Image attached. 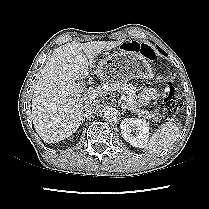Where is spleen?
Returning a JSON list of instances; mask_svg holds the SVG:
<instances>
[{"mask_svg": "<svg viewBox=\"0 0 209 209\" xmlns=\"http://www.w3.org/2000/svg\"><path fill=\"white\" fill-rule=\"evenodd\" d=\"M181 129L174 122L162 124L146 146L149 153H160L173 145L180 136Z\"/></svg>", "mask_w": 209, "mask_h": 209, "instance_id": "obj_1", "label": "spleen"}]
</instances>
